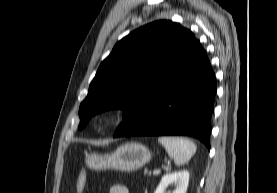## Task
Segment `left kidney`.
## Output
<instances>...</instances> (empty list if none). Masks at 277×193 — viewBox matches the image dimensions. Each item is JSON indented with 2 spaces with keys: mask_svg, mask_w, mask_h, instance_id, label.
Wrapping results in <instances>:
<instances>
[{
  "mask_svg": "<svg viewBox=\"0 0 277 193\" xmlns=\"http://www.w3.org/2000/svg\"><path fill=\"white\" fill-rule=\"evenodd\" d=\"M189 183V172L187 170L166 174L154 193H164L169 185L175 184L176 188L172 193H186Z\"/></svg>",
  "mask_w": 277,
  "mask_h": 193,
  "instance_id": "5707ae66",
  "label": "left kidney"
}]
</instances>
